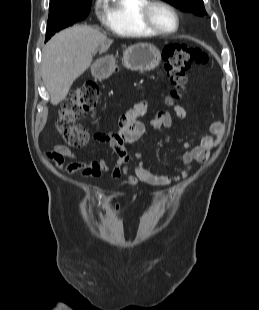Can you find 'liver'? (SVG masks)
Here are the masks:
<instances>
[{"instance_id": "liver-1", "label": "liver", "mask_w": 259, "mask_h": 310, "mask_svg": "<svg viewBox=\"0 0 259 310\" xmlns=\"http://www.w3.org/2000/svg\"><path fill=\"white\" fill-rule=\"evenodd\" d=\"M106 35L86 25H76L54 35L42 51V79L53 105L64 100L73 82L91 65L98 48L112 44Z\"/></svg>"}]
</instances>
